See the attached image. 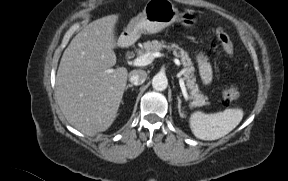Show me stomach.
I'll use <instances>...</instances> for the list:
<instances>
[{"mask_svg":"<svg viewBox=\"0 0 288 181\" xmlns=\"http://www.w3.org/2000/svg\"><path fill=\"white\" fill-rule=\"evenodd\" d=\"M175 22L191 27L196 19L190 11L179 14L170 0H148L144 10L131 19L121 36L131 42L142 34L158 33Z\"/></svg>","mask_w":288,"mask_h":181,"instance_id":"stomach-1","label":"stomach"}]
</instances>
